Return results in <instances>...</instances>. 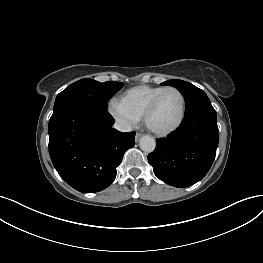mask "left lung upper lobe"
Instances as JSON below:
<instances>
[{"instance_id":"5c2ea615","label":"left lung upper lobe","mask_w":263,"mask_h":263,"mask_svg":"<svg viewBox=\"0 0 263 263\" xmlns=\"http://www.w3.org/2000/svg\"><path fill=\"white\" fill-rule=\"evenodd\" d=\"M162 85L173 86L182 93L186 103L185 114L201 106L211 104L205 92L189 82L172 79L163 82Z\"/></svg>"}]
</instances>
